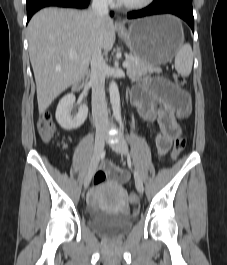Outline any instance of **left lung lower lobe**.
Masks as SVG:
<instances>
[{
	"mask_svg": "<svg viewBox=\"0 0 227 265\" xmlns=\"http://www.w3.org/2000/svg\"><path fill=\"white\" fill-rule=\"evenodd\" d=\"M174 14L185 20L194 32L192 0H154L148 7L127 14L129 19L156 14Z\"/></svg>",
	"mask_w": 227,
	"mask_h": 265,
	"instance_id": "left-lung-lower-lobe-1",
	"label": "left lung lower lobe"
}]
</instances>
